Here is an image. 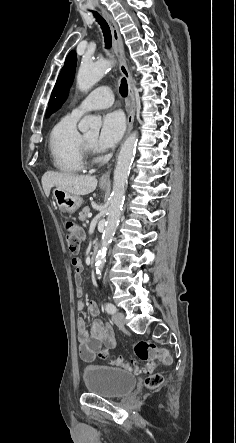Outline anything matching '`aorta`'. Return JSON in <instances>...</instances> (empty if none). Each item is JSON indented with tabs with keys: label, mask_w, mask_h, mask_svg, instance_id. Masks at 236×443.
<instances>
[{
	"label": "aorta",
	"mask_w": 236,
	"mask_h": 443,
	"mask_svg": "<svg viewBox=\"0 0 236 443\" xmlns=\"http://www.w3.org/2000/svg\"><path fill=\"white\" fill-rule=\"evenodd\" d=\"M111 66V61L97 63L86 60L82 61L77 74L78 88L83 92L88 91L109 71ZM101 125L102 122L99 117L87 115L80 121L78 128L83 133H87L89 131L98 133ZM137 140V133L133 132L123 143L117 158L106 227L102 235L101 248L96 255L95 267L96 274L98 276L101 275V271L106 262L105 257L107 248L111 243L116 227L119 223L125 199V187L136 150Z\"/></svg>",
	"instance_id": "1"
}]
</instances>
